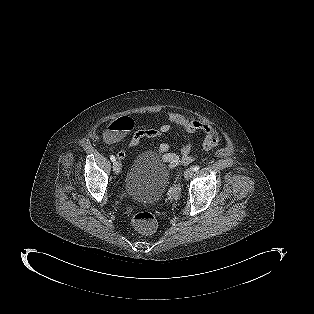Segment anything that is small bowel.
<instances>
[{
	"label": "small bowel",
	"instance_id": "obj_1",
	"mask_svg": "<svg viewBox=\"0 0 314 314\" xmlns=\"http://www.w3.org/2000/svg\"><path fill=\"white\" fill-rule=\"evenodd\" d=\"M173 126L180 127L187 135L201 133L203 135L202 147L205 151H210L218 146L220 142L219 132L210 124L202 120H189L178 113H170L168 121L162 123L159 128H145L135 131L128 143L127 149H134L143 139H160L164 134L170 132ZM158 153L163 161L169 167L175 168L181 162H189L191 160L192 145L187 141L181 148V156L170 152V145L161 142L156 146ZM127 150L121 149L117 156L123 161L126 157Z\"/></svg>",
	"mask_w": 314,
	"mask_h": 314
}]
</instances>
